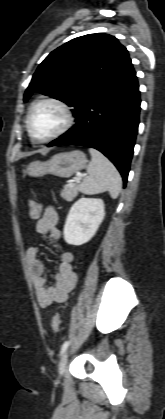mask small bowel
<instances>
[{
	"mask_svg": "<svg viewBox=\"0 0 165 419\" xmlns=\"http://www.w3.org/2000/svg\"><path fill=\"white\" fill-rule=\"evenodd\" d=\"M58 221V213L52 206H48L36 221V230L40 234L50 237L60 257L53 285H48L45 276L46 265L39 257V249L36 246H31L26 252V260L36 299L43 308L66 301L69 292L74 288L77 281V275L72 267L73 253L62 249L59 245L61 232L57 228Z\"/></svg>",
	"mask_w": 165,
	"mask_h": 419,
	"instance_id": "1",
	"label": "small bowel"
}]
</instances>
